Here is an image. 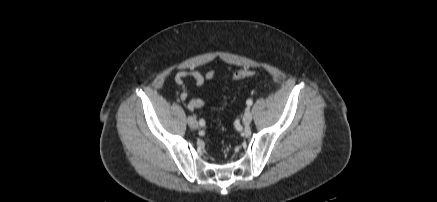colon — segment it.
Segmentation results:
<instances>
[{"mask_svg":"<svg viewBox=\"0 0 437 202\" xmlns=\"http://www.w3.org/2000/svg\"><path fill=\"white\" fill-rule=\"evenodd\" d=\"M255 75V71L251 70V69H242L237 71L236 73H234L232 79L234 81H239V80H243L245 78H249Z\"/></svg>","mask_w":437,"mask_h":202,"instance_id":"5ec220e1","label":"colon"}]
</instances>
